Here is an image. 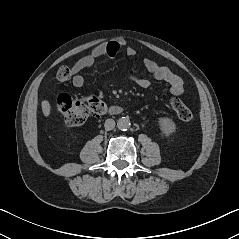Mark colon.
<instances>
[{"instance_id": "1", "label": "colon", "mask_w": 239, "mask_h": 239, "mask_svg": "<svg viewBox=\"0 0 239 239\" xmlns=\"http://www.w3.org/2000/svg\"><path fill=\"white\" fill-rule=\"evenodd\" d=\"M71 75L72 70L67 66L60 67L57 72V78L61 81L68 80ZM56 105L68 126H80L86 122L89 116L100 114L105 110L104 103L96 96L72 98L68 94H60L57 97ZM170 105L182 121L192 119L191 111L179 98H171Z\"/></svg>"}]
</instances>
